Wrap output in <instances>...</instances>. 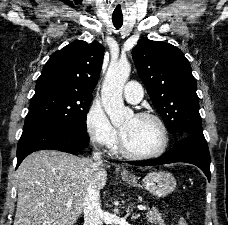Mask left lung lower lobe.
<instances>
[{
  "label": "left lung lower lobe",
  "mask_w": 228,
  "mask_h": 225,
  "mask_svg": "<svg viewBox=\"0 0 228 225\" xmlns=\"http://www.w3.org/2000/svg\"><path fill=\"white\" fill-rule=\"evenodd\" d=\"M175 162H185L198 166L210 181V154L204 135L188 134L170 151L153 160L128 161L136 166H155Z\"/></svg>",
  "instance_id": "left-lung-lower-lobe-1"
}]
</instances>
